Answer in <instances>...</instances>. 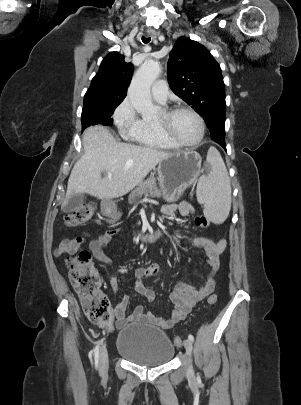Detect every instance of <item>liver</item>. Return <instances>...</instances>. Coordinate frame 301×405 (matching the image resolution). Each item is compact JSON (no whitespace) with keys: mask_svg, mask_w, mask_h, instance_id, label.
Instances as JSON below:
<instances>
[{"mask_svg":"<svg viewBox=\"0 0 301 405\" xmlns=\"http://www.w3.org/2000/svg\"><path fill=\"white\" fill-rule=\"evenodd\" d=\"M82 144L84 153L71 171L62 207L74 194L88 193L98 199L123 196L170 154L119 142L101 125L87 128ZM102 171L106 172L104 178L101 177Z\"/></svg>","mask_w":301,"mask_h":405,"instance_id":"1","label":"liver"}]
</instances>
